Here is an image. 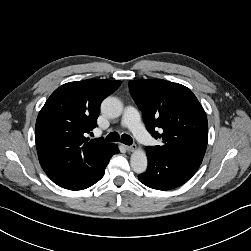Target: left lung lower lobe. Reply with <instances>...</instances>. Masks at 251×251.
<instances>
[{
    "mask_svg": "<svg viewBox=\"0 0 251 251\" xmlns=\"http://www.w3.org/2000/svg\"><path fill=\"white\" fill-rule=\"evenodd\" d=\"M148 169L139 175L144 185L157 189L169 190L187 182L198 170L201 163L170 155L147 152Z\"/></svg>",
    "mask_w": 251,
    "mask_h": 251,
    "instance_id": "0a47b994",
    "label": "left lung lower lobe"
}]
</instances>
